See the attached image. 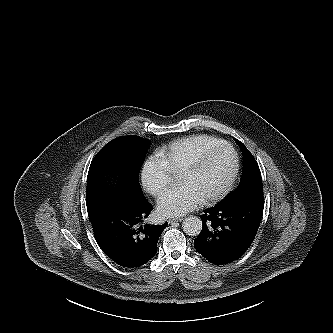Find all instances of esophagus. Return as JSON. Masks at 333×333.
Here are the masks:
<instances>
[{
    "label": "esophagus",
    "mask_w": 333,
    "mask_h": 333,
    "mask_svg": "<svg viewBox=\"0 0 333 333\" xmlns=\"http://www.w3.org/2000/svg\"><path fill=\"white\" fill-rule=\"evenodd\" d=\"M182 220V218H180V217H172V218H170L169 220H168V222L170 223V224H172V223H174V222H180Z\"/></svg>",
    "instance_id": "esophagus-1"
}]
</instances>
